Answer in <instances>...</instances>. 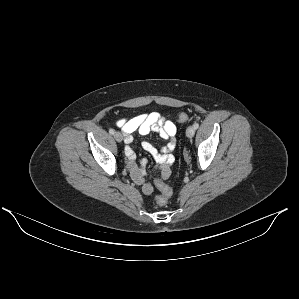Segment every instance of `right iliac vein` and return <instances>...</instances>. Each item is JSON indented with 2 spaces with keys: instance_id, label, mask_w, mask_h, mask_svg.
<instances>
[{
  "instance_id": "1",
  "label": "right iliac vein",
  "mask_w": 299,
  "mask_h": 299,
  "mask_svg": "<svg viewBox=\"0 0 299 299\" xmlns=\"http://www.w3.org/2000/svg\"><path fill=\"white\" fill-rule=\"evenodd\" d=\"M114 137H115L117 142H122V140H123V136L120 132H115Z\"/></svg>"
}]
</instances>
